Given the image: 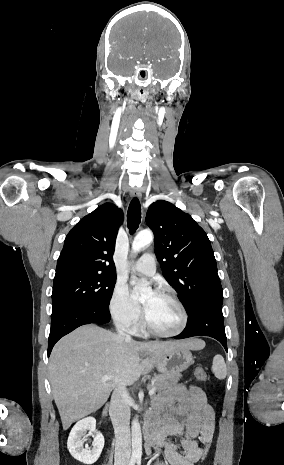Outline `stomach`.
I'll return each instance as SVG.
<instances>
[{
    "label": "stomach",
    "mask_w": 284,
    "mask_h": 465,
    "mask_svg": "<svg viewBox=\"0 0 284 465\" xmlns=\"http://www.w3.org/2000/svg\"><path fill=\"white\" fill-rule=\"evenodd\" d=\"M154 363L160 373H175V371H185L190 365H193L192 353L185 349L182 343L177 345L170 353L154 357Z\"/></svg>",
    "instance_id": "1"
}]
</instances>
